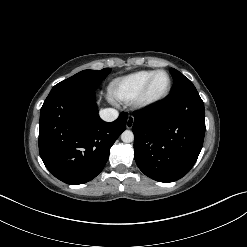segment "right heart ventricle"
I'll list each match as a JSON object with an SVG mask.
<instances>
[{"label": "right heart ventricle", "mask_w": 247, "mask_h": 247, "mask_svg": "<svg viewBox=\"0 0 247 247\" xmlns=\"http://www.w3.org/2000/svg\"><path fill=\"white\" fill-rule=\"evenodd\" d=\"M154 72V70H142L117 78L111 82L110 92L120 101H135Z\"/></svg>", "instance_id": "e07e8e85"}]
</instances>
